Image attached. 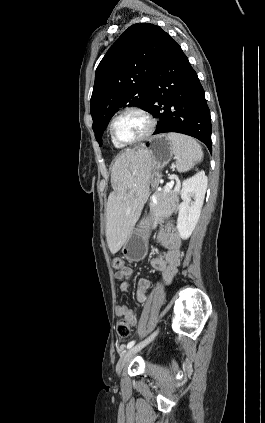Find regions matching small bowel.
Masks as SVG:
<instances>
[{
  "mask_svg": "<svg viewBox=\"0 0 265 423\" xmlns=\"http://www.w3.org/2000/svg\"><path fill=\"white\" fill-rule=\"evenodd\" d=\"M157 239L164 247V251L151 259V266L154 270L162 273L165 284H170L177 273V268L182 260L181 237L171 223L164 224L157 233ZM132 275V269L128 266L123 267L121 271H116L115 277L121 281L120 290L124 293L129 290V279ZM150 290V281L147 278H141L137 283L136 299L140 303H145ZM115 314L118 317L125 318L132 326L137 325L138 315L125 305H117Z\"/></svg>",
  "mask_w": 265,
  "mask_h": 423,
  "instance_id": "c3829d8e",
  "label": "small bowel"
}]
</instances>
